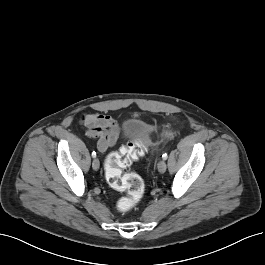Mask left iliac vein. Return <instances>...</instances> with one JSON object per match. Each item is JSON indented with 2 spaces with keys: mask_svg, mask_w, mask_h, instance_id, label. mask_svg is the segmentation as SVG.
I'll return each mask as SVG.
<instances>
[{
  "mask_svg": "<svg viewBox=\"0 0 265 265\" xmlns=\"http://www.w3.org/2000/svg\"><path fill=\"white\" fill-rule=\"evenodd\" d=\"M166 169H167L166 162L164 160L159 161V163H158V171L160 173H164L166 171Z\"/></svg>",
  "mask_w": 265,
  "mask_h": 265,
  "instance_id": "obj_1",
  "label": "left iliac vein"
}]
</instances>
